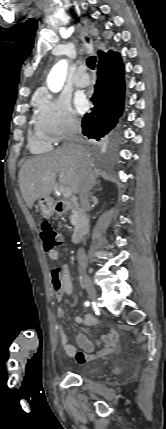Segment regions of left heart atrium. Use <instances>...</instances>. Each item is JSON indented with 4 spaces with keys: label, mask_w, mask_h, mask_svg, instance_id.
<instances>
[{
    "label": "left heart atrium",
    "mask_w": 166,
    "mask_h": 429,
    "mask_svg": "<svg viewBox=\"0 0 166 429\" xmlns=\"http://www.w3.org/2000/svg\"><path fill=\"white\" fill-rule=\"evenodd\" d=\"M75 107L79 113H83L87 110L88 101L83 94H77L75 97Z\"/></svg>",
    "instance_id": "1"
}]
</instances>
